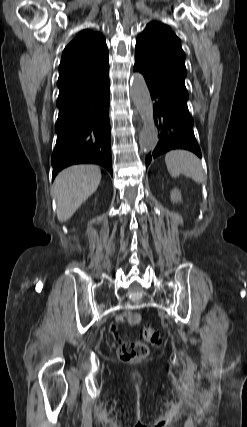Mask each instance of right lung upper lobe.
Here are the masks:
<instances>
[{
  "label": "right lung upper lobe",
  "mask_w": 247,
  "mask_h": 427,
  "mask_svg": "<svg viewBox=\"0 0 247 427\" xmlns=\"http://www.w3.org/2000/svg\"><path fill=\"white\" fill-rule=\"evenodd\" d=\"M109 55L98 32L81 31L64 49L60 66L59 96L83 89L108 76Z\"/></svg>",
  "instance_id": "cb5924a9"
}]
</instances>
